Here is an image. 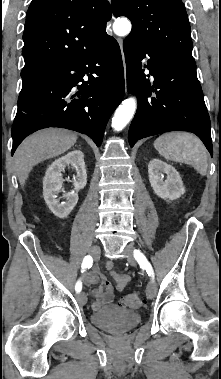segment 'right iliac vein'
<instances>
[{"label":"right iliac vein","instance_id":"63e3f726","mask_svg":"<svg viewBox=\"0 0 221 379\" xmlns=\"http://www.w3.org/2000/svg\"><path fill=\"white\" fill-rule=\"evenodd\" d=\"M89 253L94 257L97 258L100 254V247L98 245H94L90 248ZM77 300L80 304L84 305L87 302V297L84 292H81L77 295Z\"/></svg>","mask_w":221,"mask_h":379}]
</instances>
